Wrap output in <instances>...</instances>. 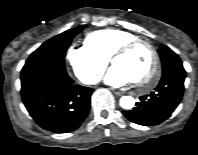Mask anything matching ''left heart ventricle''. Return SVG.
<instances>
[{"mask_svg": "<svg viewBox=\"0 0 198 155\" xmlns=\"http://www.w3.org/2000/svg\"><path fill=\"white\" fill-rule=\"evenodd\" d=\"M113 64L125 70L134 82L141 81L150 72L153 57L149 48L140 44L125 55L116 57Z\"/></svg>", "mask_w": 198, "mask_h": 155, "instance_id": "1", "label": "left heart ventricle"}]
</instances>
